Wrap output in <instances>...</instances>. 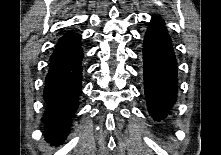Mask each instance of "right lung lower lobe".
<instances>
[{"label":"right lung lower lobe","mask_w":221,"mask_h":155,"mask_svg":"<svg viewBox=\"0 0 221 155\" xmlns=\"http://www.w3.org/2000/svg\"><path fill=\"white\" fill-rule=\"evenodd\" d=\"M82 59L81 36L67 32L56 45L45 79L47 108L41 120L46 124V140L52 145H58L66 138L71 118L78 108Z\"/></svg>","instance_id":"right-lung-lower-lobe-1"}]
</instances>
